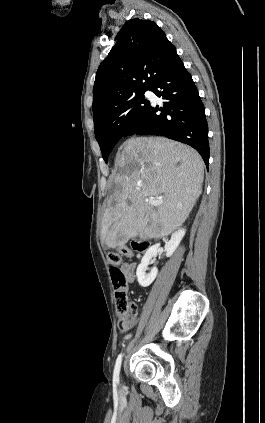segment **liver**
I'll list each match as a JSON object with an SVG mask.
<instances>
[{"instance_id": "obj_1", "label": "liver", "mask_w": 265, "mask_h": 423, "mask_svg": "<svg viewBox=\"0 0 265 423\" xmlns=\"http://www.w3.org/2000/svg\"><path fill=\"white\" fill-rule=\"evenodd\" d=\"M116 189L107 201L101 242L109 248L178 229L202 192L204 162L193 148L164 137H132L119 148ZM163 200L158 206L146 199Z\"/></svg>"}]
</instances>
